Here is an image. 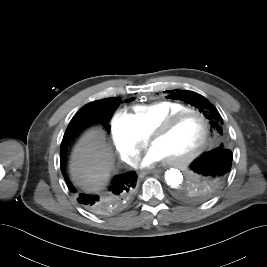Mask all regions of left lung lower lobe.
Returning a JSON list of instances; mask_svg holds the SVG:
<instances>
[{
    "label": "left lung lower lobe",
    "instance_id": "obj_1",
    "mask_svg": "<svg viewBox=\"0 0 267 267\" xmlns=\"http://www.w3.org/2000/svg\"><path fill=\"white\" fill-rule=\"evenodd\" d=\"M215 172V173H214ZM235 173V160L226 141H219L215 149L199 157L190 167L192 185L184 189L188 200H195L199 193L214 195L222 189Z\"/></svg>",
    "mask_w": 267,
    "mask_h": 267
}]
</instances>
